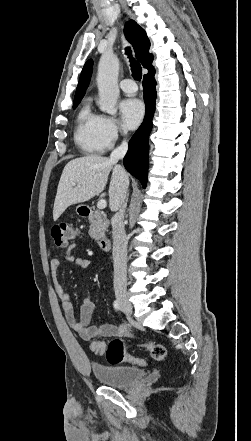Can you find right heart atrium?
Returning <instances> with one entry per match:
<instances>
[{"mask_svg": "<svg viewBox=\"0 0 251 441\" xmlns=\"http://www.w3.org/2000/svg\"><path fill=\"white\" fill-rule=\"evenodd\" d=\"M99 131L107 147L112 146L123 133L116 119L106 115L100 116Z\"/></svg>", "mask_w": 251, "mask_h": 441, "instance_id": "1", "label": "right heart atrium"}]
</instances>
